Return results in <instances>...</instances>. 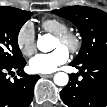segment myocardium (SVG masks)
Returning <instances> with one entry per match:
<instances>
[{
  "label": "myocardium",
  "mask_w": 107,
  "mask_h": 107,
  "mask_svg": "<svg viewBox=\"0 0 107 107\" xmlns=\"http://www.w3.org/2000/svg\"><path fill=\"white\" fill-rule=\"evenodd\" d=\"M55 38L71 54H76L81 49V37L73 31H65L56 35Z\"/></svg>",
  "instance_id": "1"
}]
</instances>
